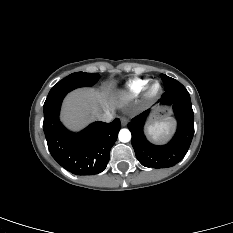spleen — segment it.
<instances>
[{
    "instance_id": "obj_1",
    "label": "spleen",
    "mask_w": 233,
    "mask_h": 233,
    "mask_svg": "<svg viewBox=\"0 0 233 233\" xmlns=\"http://www.w3.org/2000/svg\"><path fill=\"white\" fill-rule=\"evenodd\" d=\"M174 123L171 119L156 122L147 127V134L153 141H162L171 133Z\"/></svg>"
}]
</instances>
